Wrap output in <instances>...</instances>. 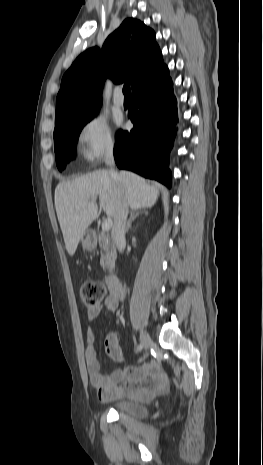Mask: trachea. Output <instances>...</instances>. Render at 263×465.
Segmentation results:
<instances>
[{
  "instance_id": "trachea-1",
  "label": "trachea",
  "mask_w": 263,
  "mask_h": 465,
  "mask_svg": "<svg viewBox=\"0 0 263 465\" xmlns=\"http://www.w3.org/2000/svg\"><path fill=\"white\" fill-rule=\"evenodd\" d=\"M123 94L124 96H131V90L129 85H125L123 87Z\"/></svg>"
}]
</instances>
